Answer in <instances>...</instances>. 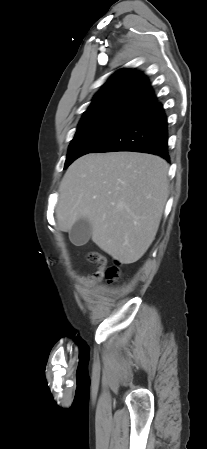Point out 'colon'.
Wrapping results in <instances>:
<instances>
[{
    "mask_svg": "<svg viewBox=\"0 0 207 449\" xmlns=\"http://www.w3.org/2000/svg\"><path fill=\"white\" fill-rule=\"evenodd\" d=\"M87 260L88 262L98 266L99 270L97 275L104 272L106 278L110 281L116 280L120 276V272L117 267L112 266L106 268V259L97 252H89L87 254Z\"/></svg>",
    "mask_w": 207,
    "mask_h": 449,
    "instance_id": "obj_1",
    "label": "colon"
}]
</instances>
